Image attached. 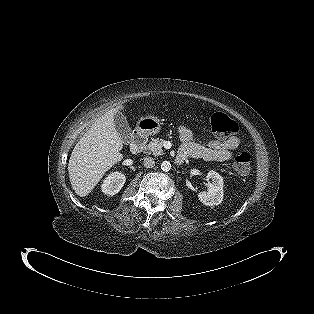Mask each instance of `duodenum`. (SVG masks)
<instances>
[{
  "mask_svg": "<svg viewBox=\"0 0 314 314\" xmlns=\"http://www.w3.org/2000/svg\"><path fill=\"white\" fill-rule=\"evenodd\" d=\"M145 143H146V135L141 131L135 132L132 143H131L132 153L139 154L143 150ZM177 160L179 163H182L185 159L181 156H178Z\"/></svg>",
  "mask_w": 314,
  "mask_h": 314,
  "instance_id": "obj_1",
  "label": "duodenum"
}]
</instances>
